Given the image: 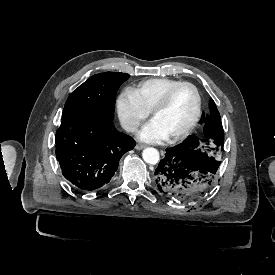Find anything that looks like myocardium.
I'll return each instance as SVG.
<instances>
[{"label": "myocardium", "instance_id": "1", "mask_svg": "<svg viewBox=\"0 0 275 275\" xmlns=\"http://www.w3.org/2000/svg\"><path fill=\"white\" fill-rule=\"evenodd\" d=\"M182 85H188V86L192 87V89L194 90L195 95H196V110H195L192 120L185 128L168 136V138L170 140H176V139H180L182 137L187 136L194 129L196 124L198 123L200 116H201V112H202V97H201V93H200L198 87L190 81H178L175 84L168 87L167 90L162 95V97L159 99V101L157 102V104L155 105V107L152 110V119H154L155 115L158 112H160L167 106L173 92L178 87H180Z\"/></svg>", "mask_w": 275, "mask_h": 275}]
</instances>
